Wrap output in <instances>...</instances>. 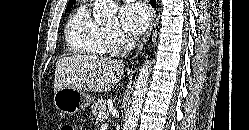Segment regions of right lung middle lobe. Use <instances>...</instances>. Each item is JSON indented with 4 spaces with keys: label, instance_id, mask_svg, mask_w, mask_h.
<instances>
[{
    "label": "right lung middle lobe",
    "instance_id": "dd1d6c3e",
    "mask_svg": "<svg viewBox=\"0 0 249 130\" xmlns=\"http://www.w3.org/2000/svg\"><path fill=\"white\" fill-rule=\"evenodd\" d=\"M72 5H73V4L67 5L66 11H68V10L72 7Z\"/></svg>",
    "mask_w": 249,
    "mask_h": 130
}]
</instances>
